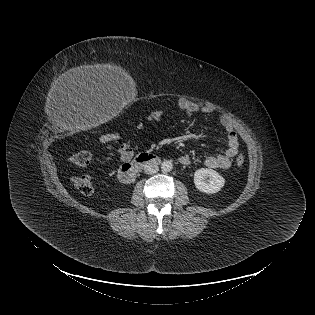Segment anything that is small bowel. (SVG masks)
Instances as JSON below:
<instances>
[{
  "instance_id": "c3829d8e",
  "label": "small bowel",
  "mask_w": 315,
  "mask_h": 315,
  "mask_svg": "<svg viewBox=\"0 0 315 315\" xmlns=\"http://www.w3.org/2000/svg\"><path fill=\"white\" fill-rule=\"evenodd\" d=\"M178 107L181 111L190 116L197 114L208 115L214 112L212 107L199 106L187 99H180ZM165 113L166 112L164 110H155L147 117V122L158 123L161 121ZM219 122L226 132L227 149L223 154L208 156L205 159V165L213 169H228L231 166L232 159L238 154L239 142L230 117L226 114H221ZM143 127L144 123H139L137 125L138 130H142ZM136 150L137 145L129 141L120 145L118 154L122 161L127 162L133 157ZM179 161L183 165H188L191 162V158L188 155H183L179 158Z\"/></svg>"
}]
</instances>
